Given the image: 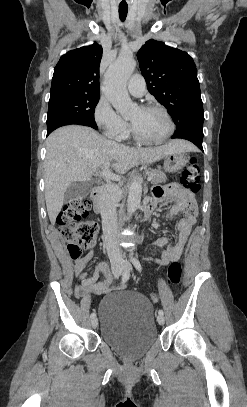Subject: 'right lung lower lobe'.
Masks as SVG:
<instances>
[{
	"label": "right lung lower lobe",
	"mask_w": 247,
	"mask_h": 407,
	"mask_svg": "<svg viewBox=\"0 0 247 407\" xmlns=\"http://www.w3.org/2000/svg\"><path fill=\"white\" fill-rule=\"evenodd\" d=\"M69 124L86 125V124L77 123V122H65V123H60V124H58V125H56V126L50 128V129H47V135H49V134H50L53 130H55L56 128L61 127V126H64V125H69ZM86 126H88V125H86ZM90 127H91V126H90ZM92 128H93V127H92ZM94 129H97V128H94Z\"/></svg>",
	"instance_id": "98d812e1"
}]
</instances>
